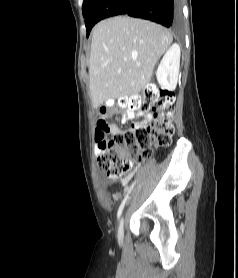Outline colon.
<instances>
[{
  "label": "colon",
  "instance_id": "colon-1",
  "mask_svg": "<svg viewBox=\"0 0 238 278\" xmlns=\"http://www.w3.org/2000/svg\"><path fill=\"white\" fill-rule=\"evenodd\" d=\"M174 95L165 90L147 88L142 94L121 98L119 105L132 110L150 113L152 122L147 127L113 134L106 139L108 124L98 119L95 137L102 149L98 165L110 177L116 178L126 173L133 163L151 155L153 146H168L171 142L174 125ZM109 102L108 105H111ZM106 108H101L100 113Z\"/></svg>",
  "mask_w": 238,
  "mask_h": 278
}]
</instances>
